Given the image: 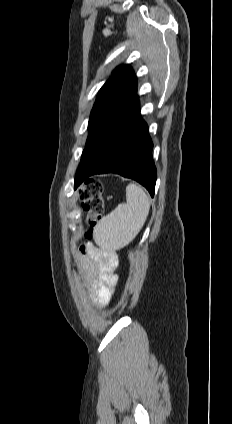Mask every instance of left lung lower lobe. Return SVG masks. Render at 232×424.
Returning a JSON list of instances; mask_svg holds the SVG:
<instances>
[{"mask_svg":"<svg viewBox=\"0 0 232 424\" xmlns=\"http://www.w3.org/2000/svg\"><path fill=\"white\" fill-rule=\"evenodd\" d=\"M152 148L135 95L92 142L84 165L76 173L74 189L84 181L87 183L91 175L112 172L138 181L153 197L157 174Z\"/></svg>","mask_w":232,"mask_h":424,"instance_id":"left-lung-lower-lobe-1","label":"left lung lower lobe"}]
</instances>
